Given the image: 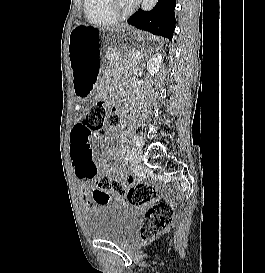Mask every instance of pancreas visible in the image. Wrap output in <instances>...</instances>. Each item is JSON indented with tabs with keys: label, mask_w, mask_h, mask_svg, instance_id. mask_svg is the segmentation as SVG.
<instances>
[{
	"label": "pancreas",
	"mask_w": 265,
	"mask_h": 273,
	"mask_svg": "<svg viewBox=\"0 0 265 273\" xmlns=\"http://www.w3.org/2000/svg\"><path fill=\"white\" fill-rule=\"evenodd\" d=\"M134 52H128L125 53L124 56H121L119 53H114L111 56V64L115 65L117 64L119 61H125L128 65L134 67L137 65V60L135 59V57H133Z\"/></svg>",
	"instance_id": "obj_1"
}]
</instances>
